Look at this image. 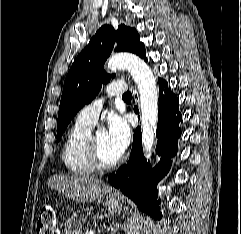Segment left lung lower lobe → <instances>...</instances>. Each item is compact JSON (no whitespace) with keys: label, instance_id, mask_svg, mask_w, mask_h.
Listing matches in <instances>:
<instances>
[{"label":"left lung lower lobe","instance_id":"left-lung-lower-lobe-1","mask_svg":"<svg viewBox=\"0 0 241 234\" xmlns=\"http://www.w3.org/2000/svg\"><path fill=\"white\" fill-rule=\"evenodd\" d=\"M158 80L160 100L156 151L162 156L161 162L154 169H151L149 163L146 162L142 151L141 128H137L134 132L129 161L108 177L112 186L120 189L141 210L156 219H160L162 216L159 213L160 201H157L155 185L168 172L171 165L169 157L176 154L177 141L181 136L179 122L182 119L177 96L168 89L165 80L161 78ZM134 110L139 113L137 107H134Z\"/></svg>","mask_w":241,"mask_h":234}]
</instances>
